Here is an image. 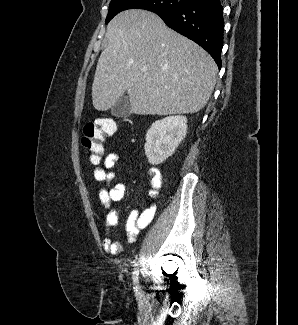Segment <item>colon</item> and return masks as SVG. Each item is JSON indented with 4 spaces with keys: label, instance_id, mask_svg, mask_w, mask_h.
Instances as JSON below:
<instances>
[{
    "label": "colon",
    "instance_id": "5ec220e1",
    "mask_svg": "<svg viewBox=\"0 0 298 325\" xmlns=\"http://www.w3.org/2000/svg\"><path fill=\"white\" fill-rule=\"evenodd\" d=\"M117 129V122L112 119L101 118L85 125L82 145L89 153L92 163H95L103 154L104 142Z\"/></svg>",
    "mask_w": 298,
    "mask_h": 325
}]
</instances>
